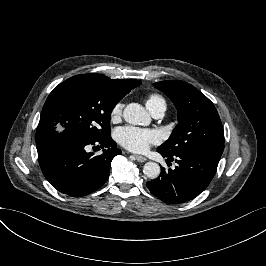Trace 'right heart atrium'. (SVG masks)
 Here are the masks:
<instances>
[{"label":"right heart atrium","mask_w":266,"mask_h":266,"mask_svg":"<svg viewBox=\"0 0 266 266\" xmlns=\"http://www.w3.org/2000/svg\"><path fill=\"white\" fill-rule=\"evenodd\" d=\"M124 106H125V103L123 100L117 101L112 106V108L110 109V113H109L111 121H117L122 117Z\"/></svg>","instance_id":"d8ad5b80"}]
</instances>
